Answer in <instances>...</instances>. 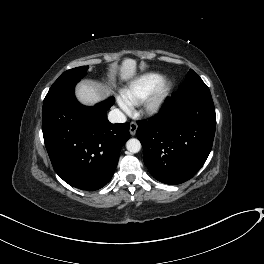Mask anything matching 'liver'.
<instances>
[{
  "mask_svg": "<svg viewBox=\"0 0 264 264\" xmlns=\"http://www.w3.org/2000/svg\"><path fill=\"white\" fill-rule=\"evenodd\" d=\"M136 73V61L125 59L120 67V79L129 80ZM76 97L84 105H94L105 98L100 87L93 82H81L76 86Z\"/></svg>",
  "mask_w": 264,
  "mask_h": 264,
  "instance_id": "liver-1",
  "label": "liver"
}]
</instances>
